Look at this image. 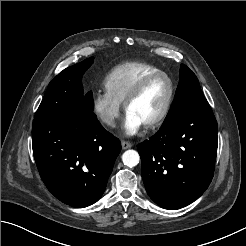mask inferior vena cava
Returning <instances> with one entry per match:
<instances>
[{"mask_svg":"<svg viewBox=\"0 0 246 246\" xmlns=\"http://www.w3.org/2000/svg\"><path fill=\"white\" fill-rule=\"evenodd\" d=\"M106 123L109 125H113V120L108 118V119H106Z\"/></svg>","mask_w":246,"mask_h":246,"instance_id":"obj_1","label":"inferior vena cava"}]
</instances>
